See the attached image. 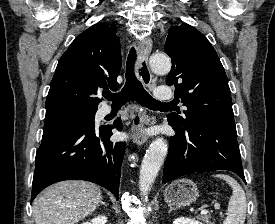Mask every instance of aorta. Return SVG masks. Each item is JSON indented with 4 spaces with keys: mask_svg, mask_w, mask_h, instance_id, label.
I'll return each mask as SVG.
<instances>
[{
    "mask_svg": "<svg viewBox=\"0 0 275 224\" xmlns=\"http://www.w3.org/2000/svg\"><path fill=\"white\" fill-rule=\"evenodd\" d=\"M149 64L155 73L167 74L171 70V60L164 54H153L149 58ZM168 145L163 137L156 138L147 149L142 160L139 188L141 195L147 197L152 184L167 155Z\"/></svg>",
    "mask_w": 275,
    "mask_h": 224,
    "instance_id": "762f6f07",
    "label": "aorta"
}]
</instances>
